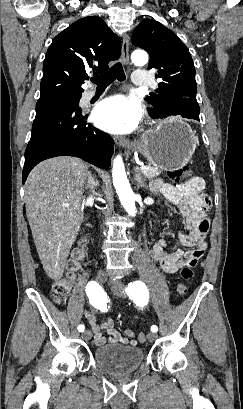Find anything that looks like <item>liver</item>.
I'll use <instances>...</instances> for the list:
<instances>
[{"mask_svg": "<svg viewBox=\"0 0 243 409\" xmlns=\"http://www.w3.org/2000/svg\"><path fill=\"white\" fill-rule=\"evenodd\" d=\"M87 164L60 156L39 163L25 183V207L46 274L60 280L83 222L81 200L90 176Z\"/></svg>", "mask_w": 243, "mask_h": 409, "instance_id": "liver-1", "label": "liver"}]
</instances>
